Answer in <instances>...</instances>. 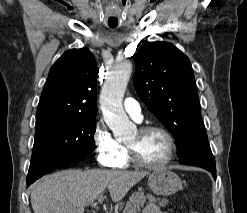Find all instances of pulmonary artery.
Wrapping results in <instances>:
<instances>
[{
    "label": "pulmonary artery",
    "instance_id": "1",
    "mask_svg": "<svg viewBox=\"0 0 247 213\" xmlns=\"http://www.w3.org/2000/svg\"><path fill=\"white\" fill-rule=\"evenodd\" d=\"M124 109L125 111L132 117L134 118L136 121H141L142 119V114H141V107L139 105V103L131 98L128 97L125 99L124 101Z\"/></svg>",
    "mask_w": 247,
    "mask_h": 213
}]
</instances>
